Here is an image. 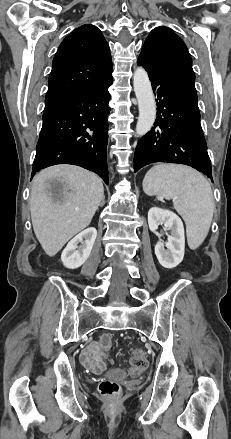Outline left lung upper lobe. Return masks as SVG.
I'll use <instances>...</instances> for the list:
<instances>
[{"label":"left lung upper lobe","mask_w":231,"mask_h":439,"mask_svg":"<svg viewBox=\"0 0 231 439\" xmlns=\"http://www.w3.org/2000/svg\"><path fill=\"white\" fill-rule=\"evenodd\" d=\"M141 54L148 56L164 72L197 96L192 59L185 43L171 29L164 26L153 29Z\"/></svg>","instance_id":"1"}]
</instances>
